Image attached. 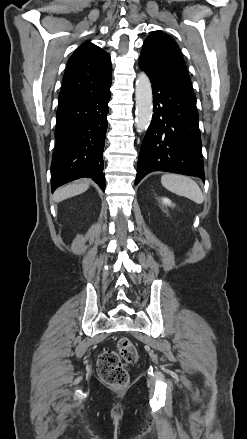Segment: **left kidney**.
I'll list each match as a JSON object with an SVG mask.
<instances>
[{
  "label": "left kidney",
  "mask_w": 247,
  "mask_h": 439,
  "mask_svg": "<svg viewBox=\"0 0 247 439\" xmlns=\"http://www.w3.org/2000/svg\"><path fill=\"white\" fill-rule=\"evenodd\" d=\"M162 203L164 205H168V206H174V204H172L171 200H169L168 198H162Z\"/></svg>",
  "instance_id": "1"
}]
</instances>
